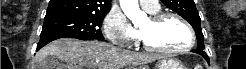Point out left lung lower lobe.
<instances>
[{
  "mask_svg": "<svg viewBox=\"0 0 246 69\" xmlns=\"http://www.w3.org/2000/svg\"><path fill=\"white\" fill-rule=\"evenodd\" d=\"M192 52L197 53V54H200L209 63V57L207 56V54L203 50L195 49V50H192Z\"/></svg>",
  "mask_w": 246,
  "mask_h": 69,
  "instance_id": "obj_1",
  "label": "left lung lower lobe"
}]
</instances>
